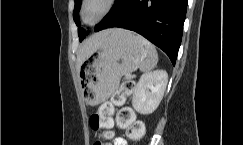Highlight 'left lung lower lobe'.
<instances>
[{
    "label": "left lung lower lobe",
    "instance_id": "obj_1",
    "mask_svg": "<svg viewBox=\"0 0 243 145\" xmlns=\"http://www.w3.org/2000/svg\"><path fill=\"white\" fill-rule=\"evenodd\" d=\"M188 0H123L95 26L135 31L162 49L175 65Z\"/></svg>",
    "mask_w": 243,
    "mask_h": 145
}]
</instances>
